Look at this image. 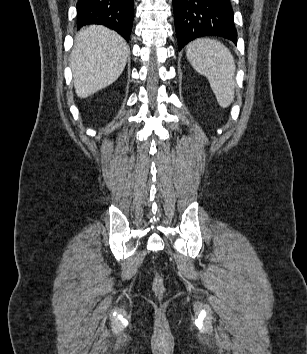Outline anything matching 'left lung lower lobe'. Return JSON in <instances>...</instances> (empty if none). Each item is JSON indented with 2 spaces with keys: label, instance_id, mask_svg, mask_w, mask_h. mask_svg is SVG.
Wrapping results in <instances>:
<instances>
[{
  "label": "left lung lower lobe",
  "instance_id": "0a47b994",
  "mask_svg": "<svg viewBox=\"0 0 307 354\" xmlns=\"http://www.w3.org/2000/svg\"><path fill=\"white\" fill-rule=\"evenodd\" d=\"M178 48L197 37L216 35L237 43L230 0H173Z\"/></svg>",
  "mask_w": 307,
  "mask_h": 354
}]
</instances>
